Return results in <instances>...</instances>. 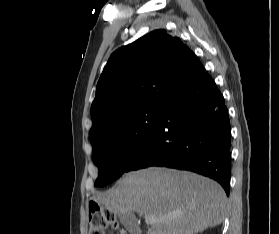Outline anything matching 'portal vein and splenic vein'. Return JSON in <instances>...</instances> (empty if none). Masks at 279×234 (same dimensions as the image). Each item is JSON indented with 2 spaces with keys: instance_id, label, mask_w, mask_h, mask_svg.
I'll return each instance as SVG.
<instances>
[{
  "instance_id": "obj_1",
  "label": "portal vein and splenic vein",
  "mask_w": 279,
  "mask_h": 234,
  "mask_svg": "<svg viewBox=\"0 0 279 234\" xmlns=\"http://www.w3.org/2000/svg\"><path fill=\"white\" fill-rule=\"evenodd\" d=\"M145 221H146L147 224H152L156 220L152 216L147 215V216H145Z\"/></svg>"
}]
</instances>
